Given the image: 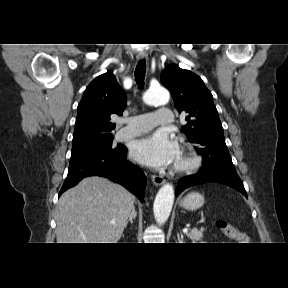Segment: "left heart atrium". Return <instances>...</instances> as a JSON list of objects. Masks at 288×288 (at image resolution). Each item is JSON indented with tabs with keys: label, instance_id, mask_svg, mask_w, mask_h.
Masks as SVG:
<instances>
[{
	"label": "left heart atrium",
	"instance_id": "39dd6f15",
	"mask_svg": "<svg viewBox=\"0 0 288 288\" xmlns=\"http://www.w3.org/2000/svg\"><path fill=\"white\" fill-rule=\"evenodd\" d=\"M131 156L141 164L163 168L178 160L179 147L167 132L159 130L136 140Z\"/></svg>",
	"mask_w": 288,
	"mask_h": 288
}]
</instances>
